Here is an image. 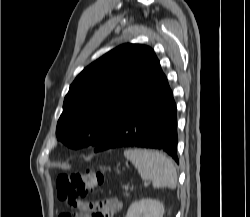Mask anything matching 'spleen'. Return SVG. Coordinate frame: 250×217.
Segmentation results:
<instances>
[{"label":"spleen","instance_id":"obj_1","mask_svg":"<svg viewBox=\"0 0 250 217\" xmlns=\"http://www.w3.org/2000/svg\"><path fill=\"white\" fill-rule=\"evenodd\" d=\"M124 156L134 164L143 180L152 181L154 188L176 187L177 172L165 154L146 149H128L124 151Z\"/></svg>","mask_w":250,"mask_h":217}]
</instances>
